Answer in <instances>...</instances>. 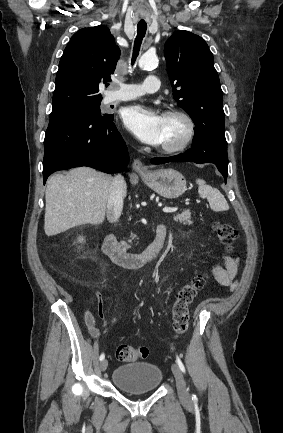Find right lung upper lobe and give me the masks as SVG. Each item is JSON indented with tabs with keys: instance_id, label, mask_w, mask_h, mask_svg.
<instances>
[{
	"instance_id": "obj_1",
	"label": "right lung upper lobe",
	"mask_w": 283,
	"mask_h": 433,
	"mask_svg": "<svg viewBox=\"0 0 283 433\" xmlns=\"http://www.w3.org/2000/svg\"><path fill=\"white\" fill-rule=\"evenodd\" d=\"M119 57L120 49L108 27L77 31L59 63L51 114L101 101L99 85L111 81Z\"/></svg>"
}]
</instances>
